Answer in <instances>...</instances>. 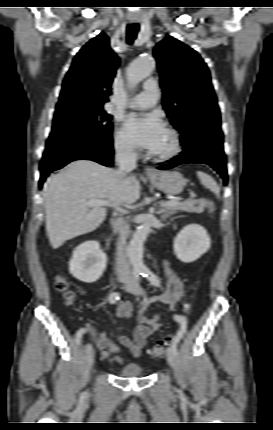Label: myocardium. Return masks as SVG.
Returning <instances> with one entry per match:
<instances>
[{"label":"myocardium","mask_w":273,"mask_h":430,"mask_svg":"<svg viewBox=\"0 0 273 430\" xmlns=\"http://www.w3.org/2000/svg\"><path fill=\"white\" fill-rule=\"evenodd\" d=\"M166 132L169 134L171 138V147L165 153H151V157L156 161H168L176 156H178L181 152L182 143L181 137L178 131L174 128H167Z\"/></svg>","instance_id":"obj_1"}]
</instances>
